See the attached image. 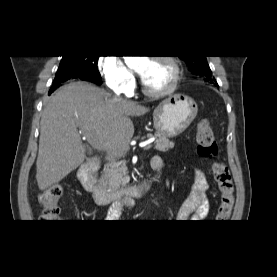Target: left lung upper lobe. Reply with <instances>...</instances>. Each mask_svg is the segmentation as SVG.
<instances>
[{
  "label": "left lung upper lobe",
  "mask_w": 277,
  "mask_h": 277,
  "mask_svg": "<svg viewBox=\"0 0 277 277\" xmlns=\"http://www.w3.org/2000/svg\"><path fill=\"white\" fill-rule=\"evenodd\" d=\"M183 59L191 68L194 74L204 77L205 81H208L215 86H218L215 78L212 75L211 69L208 65L206 56H179Z\"/></svg>",
  "instance_id": "obj_1"
}]
</instances>
